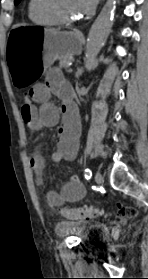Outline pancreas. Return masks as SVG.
Segmentation results:
<instances>
[{
  "label": "pancreas",
  "mask_w": 148,
  "mask_h": 279,
  "mask_svg": "<svg viewBox=\"0 0 148 279\" xmlns=\"http://www.w3.org/2000/svg\"><path fill=\"white\" fill-rule=\"evenodd\" d=\"M71 61H72V58L70 56L62 58L59 62L60 68L67 69L69 67V64L71 63Z\"/></svg>",
  "instance_id": "1"
}]
</instances>
